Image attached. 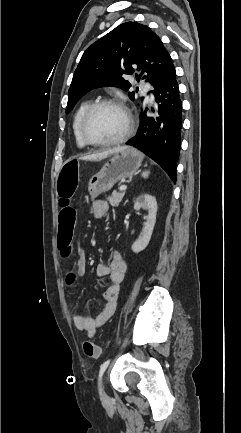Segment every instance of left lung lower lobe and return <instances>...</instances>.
<instances>
[{
  "mask_svg": "<svg viewBox=\"0 0 241 433\" xmlns=\"http://www.w3.org/2000/svg\"><path fill=\"white\" fill-rule=\"evenodd\" d=\"M155 107L140 112L137 134L126 144L157 162L176 181V163L181 147L182 102L173 63L152 91Z\"/></svg>",
  "mask_w": 241,
  "mask_h": 433,
  "instance_id": "obj_1",
  "label": "left lung lower lobe"
}]
</instances>
